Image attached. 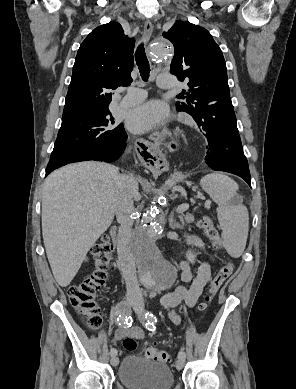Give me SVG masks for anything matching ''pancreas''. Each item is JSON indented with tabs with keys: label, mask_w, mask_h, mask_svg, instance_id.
<instances>
[{
	"label": "pancreas",
	"mask_w": 296,
	"mask_h": 389,
	"mask_svg": "<svg viewBox=\"0 0 296 389\" xmlns=\"http://www.w3.org/2000/svg\"><path fill=\"white\" fill-rule=\"evenodd\" d=\"M182 225H186L194 222V216L190 213L182 214L179 216Z\"/></svg>",
	"instance_id": "cf45deb5"
}]
</instances>
